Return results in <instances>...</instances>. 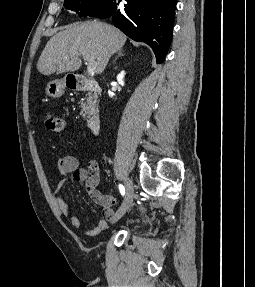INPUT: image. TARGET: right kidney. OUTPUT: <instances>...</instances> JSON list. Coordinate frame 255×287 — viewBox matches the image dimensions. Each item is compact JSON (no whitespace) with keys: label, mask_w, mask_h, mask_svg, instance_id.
<instances>
[{"label":"right kidney","mask_w":255,"mask_h":287,"mask_svg":"<svg viewBox=\"0 0 255 287\" xmlns=\"http://www.w3.org/2000/svg\"><path fill=\"white\" fill-rule=\"evenodd\" d=\"M124 78H125V72H120L117 76V82L121 84V86H124Z\"/></svg>","instance_id":"ca27d5eb"}]
</instances>
